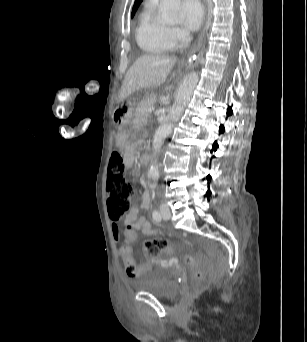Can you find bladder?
<instances>
[{
    "instance_id": "obj_1",
    "label": "bladder",
    "mask_w": 307,
    "mask_h": 342,
    "mask_svg": "<svg viewBox=\"0 0 307 342\" xmlns=\"http://www.w3.org/2000/svg\"><path fill=\"white\" fill-rule=\"evenodd\" d=\"M140 289L158 297L170 298L176 292L177 285L167 276L164 269L156 267L143 278Z\"/></svg>"
}]
</instances>
